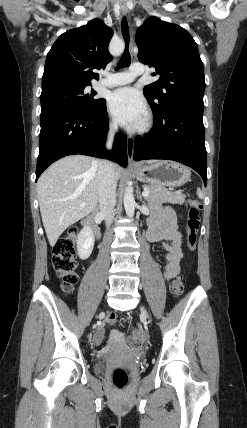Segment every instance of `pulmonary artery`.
Wrapping results in <instances>:
<instances>
[{"mask_svg": "<svg viewBox=\"0 0 247 428\" xmlns=\"http://www.w3.org/2000/svg\"><path fill=\"white\" fill-rule=\"evenodd\" d=\"M144 73V66L140 63H134L128 71L113 73L103 79L99 84L104 87L125 85L132 82L135 77L143 75Z\"/></svg>", "mask_w": 247, "mask_h": 428, "instance_id": "obj_1", "label": "pulmonary artery"}]
</instances>
